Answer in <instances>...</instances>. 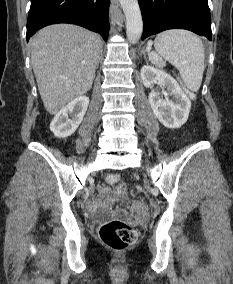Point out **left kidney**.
<instances>
[{"label":"left kidney","instance_id":"5707ae66","mask_svg":"<svg viewBox=\"0 0 233 284\" xmlns=\"http://www.w3.org/2000/svg\"><path fill=\"white\" fill-rule=\"evenodd\" d=\"M141 78L145 87L158 83L172 96V100L162 99L152 90L148 98L155 116L165 127L180 128L188 119L191 101L178 82L165 71L149 65L141 68Z\"/></svg>","mask_w":233,"mask_h":284}]
</instances>
